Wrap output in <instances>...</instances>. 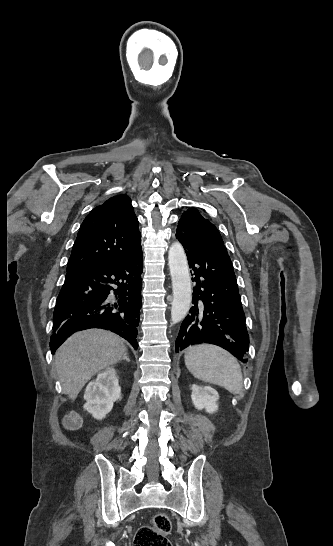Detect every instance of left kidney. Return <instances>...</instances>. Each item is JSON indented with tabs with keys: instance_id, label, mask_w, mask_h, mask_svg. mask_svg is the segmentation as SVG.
I'll list each match as a JSON object with an SVG mask.
<instances>
[{
	"instance_id": "obj_1",
	"label": "left kidney",
	"mask_w": 333,
	"mask_h": 546,
	"mask_svg": "<svg viewBox=\"0 0 333 546\" xmlns=\"http://www.w3.org/2000/svg\"><path fill=\"white\" fill-rule=\"evenodd\" d=\"M192 402L196 409H205L208 413H214L218 409L217 400L219 395L217 391L210 386H192Z\"/></svg>"
}]
</instances>
